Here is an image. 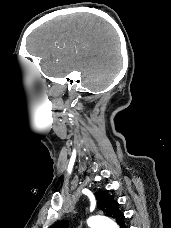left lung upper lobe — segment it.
<instances>
[{
  "label": "left lung upper lobe",
  "mask_w": 171,
  "mask_h": 228,
  "mask_svg": "<svg viewBox=\"0 0 171 228\" xmlns=\"http://www.w3.org/2000/svg\"><path fill=\"white\" fill-rule=\"evenodd\" d=\"M97 200V207L102 210L107 216L115 219V221L120 225L124 222V215L118 209V203L105 191H99L95 193ZM68 222L61 221L54 224L51 228H67Z\"/></svg>",
  "instance_id": "obj_1"
}]
</instances>
